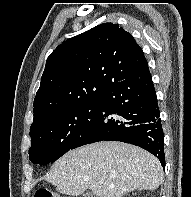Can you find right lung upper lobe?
Here are the masks:
<instances>
[{"label": "right lung upper lobe", "instance_id": "1", "mask_svg": "<svg viewBox=\"0 0 191 197\" xmlns=\"http://www.w3.org/2000/svg\"><path fill=\"white\" fill-rule=\"evenodd\" d=\"M148 66L132 35L103 23L60 44L47 58L31 127L67 108L98 101L102 92Z\"/></svg>", "mask_w": 191, "mask_h": 197}]
</instances>
